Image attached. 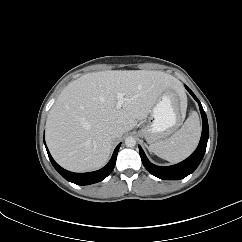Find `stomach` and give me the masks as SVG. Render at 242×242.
<instances>
[{
	"instance_id": "obj_1",
	"label": "stomach",
	"mask_w": 242,
	"mask_h": 242,
	"mask_svg": "<svg viewBox=\"0 0 242 242\" xmlns=\"http://www.w3.org/2000/svg\"><path fill=\"white\" fill-rule=\"evenodd\" d=\"M185 110V95L172 89L165 91L152 109V122L141 129V136L150 145L166 138L182 124Z\"/></svg>"
}]
</instances>
